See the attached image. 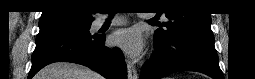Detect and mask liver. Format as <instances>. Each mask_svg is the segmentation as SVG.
Here are the masks:
<instances>
[{
    "instance_id": "obj_1",
    "label": "liver",
    "mask_w": 255,
    "mask_h": 79,
    "mask_svg": "<svg viewBox=\"0 0 255 79\" xmlns=\"http://www.w3.org/2000/svg\"><path fill=\"white\" fill-rule=\"evenodd\" d=\"M35 79H103L89 68L69 62H56L39 71Z\"/></svg>"
}]
</instances>
